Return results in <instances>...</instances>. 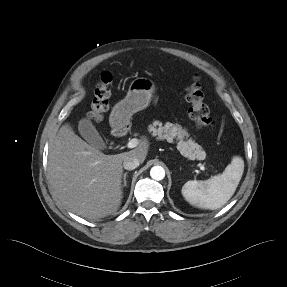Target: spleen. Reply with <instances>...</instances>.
<instances>
[{
	"label": "spleen",
	"instance_id": "obj_1",
	"mask_svg": "<svg viewBox=\"0 0 287 287\" xmlns=\"http://www.w3.org/2000/svg\"><path fill=\"white\" fill-rule=\"evenodd\" d=\"M243 171V159L234 156L222 174L204 181H188L181 193L192 206L209 210L221 208L233 196Z\"/></svg>",
	"mask_w": 287,
	"mask_h": 287
}]
</instances>
